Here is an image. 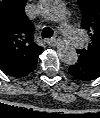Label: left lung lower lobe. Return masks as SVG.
Returning <instances> with one entry per match:
<instances>
[{
    "mask_svg": "<svg viewBox=\"0 0 100 118\" xmlns=\"http://www.w3.org/2000/svg\"><path fill=\"white\" fill-rule=\"evenodd\" d=\"M68 72L76 79L81 81H91L100 76V68L91 65L81 59L70 66Z\"/></svg>",
    "mask_w": 100,
    "mask_h": 118,
    "instance_id": "obj_1",
    "label": "left lung lower lobe"
}]
</instances>
